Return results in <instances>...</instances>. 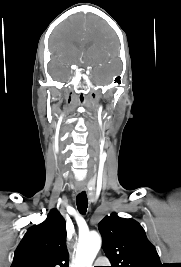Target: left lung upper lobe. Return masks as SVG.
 Segmentation results:
<instances>
[{
    "label": "left lung upper lobe",
    "mask_w": 181,
    "mask_h": 267,
    "mask_svg": "<svg viewBox=\"0 0 181 267\" xmlns=\"http://www.w3.org/2000/svg\"><path fill=\"white\" fill-rule=\"evenodd\" d=\"M98 228L111 267H162L155 247L135 220L112 213L100 221Z\"/></svg>",
    "instance_id": "left-lung-upper-lobe-1"
}]
</instances>
